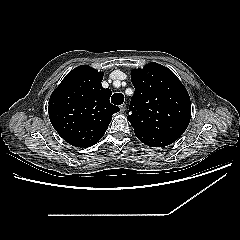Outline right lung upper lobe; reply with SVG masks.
<instances>
[{
	"label": "right lung upper lobe",
	"instance_id": "cb5924a9",
	"mask_svg": "<svg viewBox=\"0 0 240 240\" xmlns=\"http://www.w3.org/2000/svg\"><path fill=\"white\" fill-rule=\"evenodd\" d=\"M104 73L88 65L70 71L49 99V118L59 135L75 147H90L105 134L119 108L102 87Z\"/></svg>",
	"mask_w": 240,
	"mask_h": 240
}]
</instances>
